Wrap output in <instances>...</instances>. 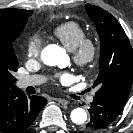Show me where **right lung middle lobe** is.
<instances>
[{"instance_id": "1", "label": "right lung middle lobe", "mask_w": 133, "mask_h": 133, "mask_svg": "<svg viewBox=\"0 0 133 133\" xmlns=\"http://www.w3.org/2000/svg\"><path fill=\"white\" fill-rule=\"evenodd\" d=\"M31 14H23L12 26H0V88L14 87L13 73L18 69V61L13 49V42L19 37Z\"/></svg>"}]
</instances>
